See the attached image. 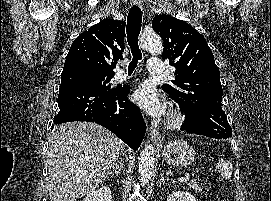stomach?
Listing matches in <instances>:
<instances>
[{
  "instance_id": "1",
  "label": "stomach",
  "mask_w": 271,
  "mask_h": 201,
  "mask_svg": "<svg viewBox=\"0 0 271 201\" xmlns=\"http://www.w3.org/2000/svg\"><path fill=\"white\" fill-rule=\"evenodd\" d=\"M162 156L173 166H188L195 161L196 152L186 141L175 140L164 147Z\"/></svg>"
}]
</instances>
